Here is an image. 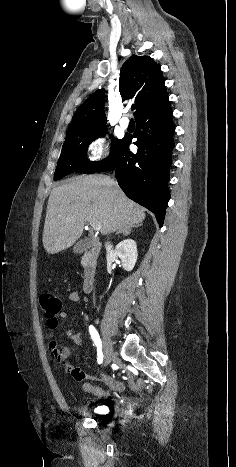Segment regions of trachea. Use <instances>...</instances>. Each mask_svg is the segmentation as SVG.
I'll use <instances>...</instances> for the list:
<instances>
[{"instance_id": "1", "label": "trachea", "mask_w": 236, "mask_h": 467, "mask_svg": "<svg viewBox=\"0 0 236 467\" xmlns=\"http://www.w3.org/2000/svg\"><path fill=\"white\" fill-rule=\"evenodd\" d=\"M134 109H135V106H132V107H131V110H134Z\"/></svg>"}]
</instances>
